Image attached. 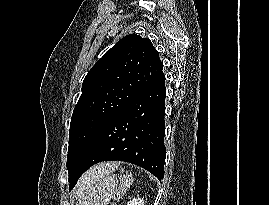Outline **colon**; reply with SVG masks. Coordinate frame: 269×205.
<instances>
[{
  "label": "colon",
  "mask_w": 269,
  "mask_h": 205,
  "mask_svg": "<svg viewBox=\"0 0 269 205\" xmlns=\"http://www.w3.org/2000/svg\"><path fill=\"white\" fill-rule=\"evenodd\" d=\"M108 205H115V204L110 203V204H108Z\"/></svg>",
  "instance_id": "1"
}]
</instances>
